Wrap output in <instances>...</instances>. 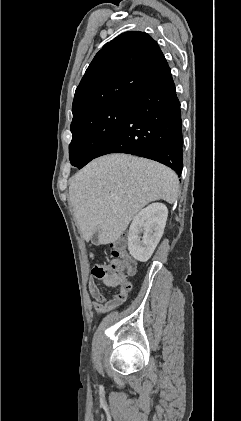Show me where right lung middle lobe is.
<instances>
[{
  "mask_svg": "<svg viewBox=\"0 0 241 421\" xmlns=\"http://www.w3.org/2000/svg\"><path fill=\"white\" fill-rule=\"evenodd\" d=\"M129 100L118 101L91 111L71 123L72 141L69 145L70 162L82 168L96 157L120 127Z\"/></svg>",
  "mask_w": 241,
  "mask_h": 421,
  "instance_id": "obj_1",
  "label": "right lung middle lobe"
}]
</instances>
